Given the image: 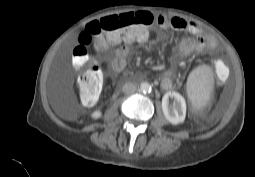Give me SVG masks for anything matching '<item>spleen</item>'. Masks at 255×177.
<instances>
[{"instance_id":"obj_1","label":"spleen","mask_w":255,"mask_h":177,"mask_svg":"<svg viewBox=\"0 0 255 177\" xmlns=\"http://www.w3.org/2000/svg\"><path fill=\"white\" fill-rule=\"evenodd\" d=\"M213 88L212 69L207 65L195 68L189 75L187 81V92L194 108H203Z\"/></svg>"}]
</instances>
